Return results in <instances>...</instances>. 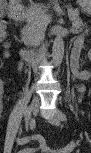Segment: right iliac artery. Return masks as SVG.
<instances>
[{
  "instance_id": "1",
  "label": "right iliac artery",
  "mask_w": 91,
  "mask_h": 153,
  "mask_svg": "<svg viewBox=\"0 0 91 153\" xmlns=\"http://www.w3.org/2000/svg\"><path fill=\"white\" fill-rule=\"evenodd\" d=\"M26 114H27V109L25 110V121H26V123H28L29 118L26 117Z\"/></svg>"
}]
</instances>
